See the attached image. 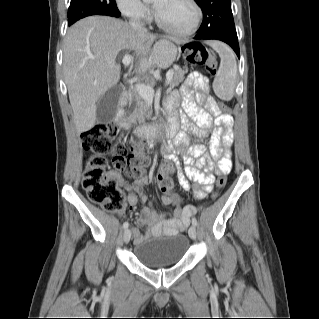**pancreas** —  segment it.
Instances as JSON below:
<instances>
[{"mask_svg": "<svg viewBox=\"0 0 319 319\" xmlns=\"http://www.w3.org/2000/svg\"><path fill=\"white\" fill-rule=\"evenodd\" d=\"M188 72L187 66L180 68L175 66L173 69V76L170 81V87L173 89L184 81V75ZM135 101V109L130 116V122L133 124H144L145 120L150 117L149 102L143 98L137 91L132 92V101Z\"/></svg>", "mask_w": 319, "mask_h": 319, "instance_id": "pancreas-1", "label": "pancreas"}]
</instances>
